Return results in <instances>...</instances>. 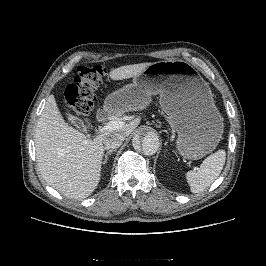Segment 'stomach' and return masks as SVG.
Instances as JSON below:
<instances>
[{
  "label": "stomach",
  "instance_id": "obj_1",
  "mask_svg": "<svg viewBox=\"0 0 266 266\" xmlns=\"http://www.w3.org/2000/svg\"><path fill=\"white\" fill-rule=\"evenodd\" d=\"M156 94L160 95L161 109L177 131L178 153L189 160H198L211 153L222 137L223 118L209 85L186 61L151 63L131 84L111 93L106 98L105 108L141 110Z\"/></svg>",
  "mask_w": 266,
  "mask_h": 266
}]
</instances>
